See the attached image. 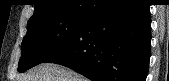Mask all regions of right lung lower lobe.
<instances>
[{
	"label": "right lung lower lobe",
	"mask_w": 169,
	"mask_h": 81,
	"mask_svg": "<svg viewBox=\"0 0 169 81\" xmlns=\"http://www.w3.org/2000/svg\"><path fill=\"white\" fill-rule=\"evenodd\" d=\"M150 5L114 0L42 63H56L92 81H145L151 45Z\"/></svg>",
	"instance_id": "right-lung-lower-lobe-1"
}]
</instances>
